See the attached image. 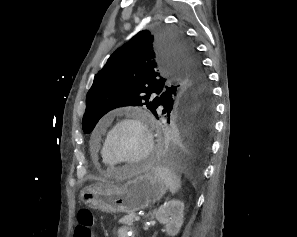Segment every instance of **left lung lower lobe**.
Instances as JSON below:
<instances>
[{"mask_svg": "<svg viewBox=\"0 0 297 237\" xmlns=\"http://www.w3.org/2000/svg\"><path fill=\"white\" fill-rule=\"evenodd\" d=\"M168 101L163 113L173 116V122L157 149V159L178 167H197L205 159L213 131L214 104L212 100L200 105Z\"/></svg>", "mask_w": 297, "mask_h": 237, "instance_id": "obj_1", "label": "left lung lower lobe"}]
</instances>
